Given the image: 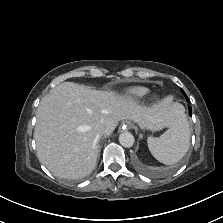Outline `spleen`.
<instances>
[{
	"instance_id": "3e777b00",
	"label": "spleen",
	"mask_w": 223,
	"mask_h": 223,
	"mask_svg": "<svg viewBox=\"0 0 223 223\" xmlns=\"http://www.w3.org/2000/svg\"><path fill=\"white\" fill-rule=\"evenodd\" d=\"M147 144L154 158L163 164L181 160L190 146V125L184 111L179 110L169 129L160 137H148Z\"/></svg>"
}]
</instances>
